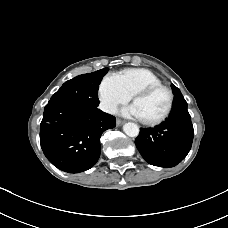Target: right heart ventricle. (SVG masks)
Wrapping results in <instances>:
<instances>
[{"mask_svg": "<svg viewBox=\"0 0 228 228\" xmlns=\"http://www.w3.org/2000/svg\"><path fill=\"white\" fill-rule=\"evenodd\" d=\"M117 75L130 96L145 86L161 84L160 79L152 71L145 68H128Z\"/></svg>", "mask_w": 228, "mask_h": 228, "instance_id": "1", "label": "right heart ventricle"}]
</instances>
